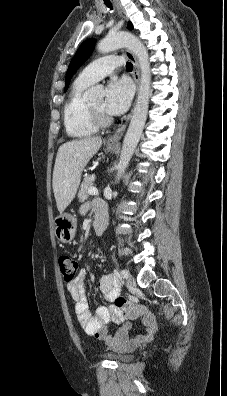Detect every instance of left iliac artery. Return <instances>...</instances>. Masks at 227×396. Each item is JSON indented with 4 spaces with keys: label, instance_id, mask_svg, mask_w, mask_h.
Wrapping results in <instances>:
<instances>
[{
    "label": "left iliac artery",
    "instance_id": "left-iliac-artery-1",
    "mask_svg": "<svg viewBox=\"0 0 227 396\" xmlns=\"http://www.w3.org/2000/svg\"><path fill=\"white\" fill-rule=\"evenodd\" d=\"M121 275L123 278H127L129 275V272L126 269L121 270Z\"/></svg>",
    "mask_w": 227,
    "mask_h": 396
}]
</instances>
